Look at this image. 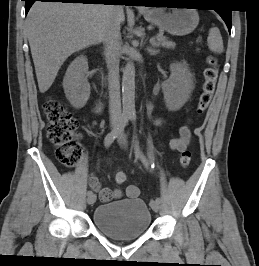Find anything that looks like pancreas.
<instances>
[{"label": "pancreas", "mask_w": 259, "mask_h": 266, "mask_svg": "<svg viewBox=\"0 0 259 266\" xmlns=\"http://www.w3.org/2000/svg\"><path fill=\"white\" fill-rule=\"evenodd\" d=\"M156 43L155 45H161L162 47L165 48H175L176 44L172 41H169L168 39H166L165 37L161 36V35H157L156 37Z\"/></svg>", "instance_id": "cf45deb5"}]
</instances>
